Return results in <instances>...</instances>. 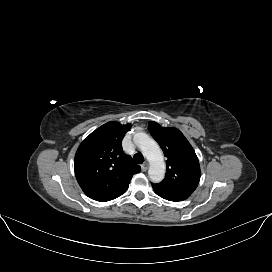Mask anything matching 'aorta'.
<instances>
[{
  "mask_svg": "<svg viewBox=\"0 0 272 272\" xmlns=\"http://www.w3.org/2000/svg\"><path fill=\"white\" fill-rule=\"evenodd\" d=\"M134 142L149 161V178L152 182L158 183L165 176V163L163 154L158 144L145 133H137Z\"/></svg>",
  "mask_w": 272,
  "mask_h": 272,
  "instance_id": "aorta-1",
  "label": "aorta"
}]
</instances>
